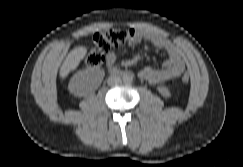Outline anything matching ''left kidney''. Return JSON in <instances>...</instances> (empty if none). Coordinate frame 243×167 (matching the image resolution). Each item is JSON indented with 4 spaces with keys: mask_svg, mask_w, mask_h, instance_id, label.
Listing matches in <instances>:
<instances>
[{
    "mask_svg": "<svg viewBox=\"0 0 243 167\" xmlns=\"http://www.w3.org/2000/svg\"><path fill=\"white\" fill-rule=\"evenodd\" d=\"M158 92L165 98L171 97V92L166 86H158L157 87Z\"/></svg>",
    "mask_w": 243,
    "mask_h": 167,
    "instance_id": "obj_1",
    "label": "left kidney"
}]
</instances>
